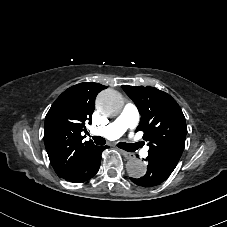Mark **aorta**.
<instances>
[{"label": "aorta", "instance_id": "aorta-1", "mask_svg": "<svg viewBox=\"0 0 227 227\" xmlns=\"http://www.w3.org/2000/svg\"><path fill=\"white\" fill-rule=\"evenodd\" d=\"M123 105L121 94L112 89L102 91L96 99V107L104 116L118 115L122 111ZM126 169L129 176L140 178L146 172V165L142 160L133 158L127 162Z\"/></svg>", "mask_w": 227, "mask_h": 227}]
</instances>
